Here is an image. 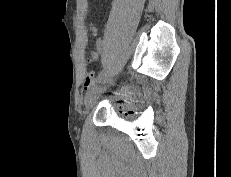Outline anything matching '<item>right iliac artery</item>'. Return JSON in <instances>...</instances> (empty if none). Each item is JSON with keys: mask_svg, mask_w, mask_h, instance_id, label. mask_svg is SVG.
Returning a JSON list of instances; mask_svg holds the SVG:
<instances>
[{"mask_svg": "<svg viewBox=\"0 0 231 177\" xmlns=\"http://www.w3.org/2000/svg\"><path fill=\"white\" fill-rule=\"evenodd\" d=\"M103 77H104V72H101L99 74V76L97 77V79H96L95 83L93 84V86H95L96 84L100 83L102 81Z\"/></svg>", "mask_w": 231, "mask_h": 177, "instance_id": "obj_1", "label": "right iliac artery"}]
</instances>
